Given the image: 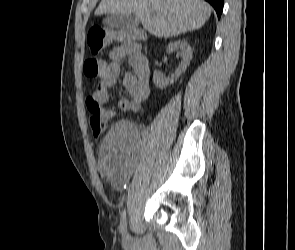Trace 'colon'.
Returning a JSON list of instances; mask_svg holds the SVG:
<instances>
[{"mask_svg": "<svg viewBox=\"0 0 295 250\" xmlns=\"http://www.w3.org/2000/svg\"><path fill=\"white\" fill-rule=\"evenodd\" d=\"M143 40L144 33L140 30L123 31L101 26L92 27L87 36L89 48L94 55L100 53L114 41L122 42L132 49H137ZM83 69L88 78H98L104 70V63L95 57H89L85 60ZM86 106L90 113L92 133L95 137H99L105 131L107 122L113 116V111L103 108L92 97L87 98Z\"/></svg>", "mask_w": 295, "mask_h": 250, "instance_id": "1", "label": "colon"}]
</instances>
